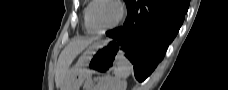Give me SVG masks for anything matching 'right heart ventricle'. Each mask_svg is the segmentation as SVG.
<instances>
[{
  "label": "right heart ventricle",
  "mask_w": 228,
  "mask_h": 90,
  "mask_svg": "<svg viewBox=\"0 0 228 90\" xmlns=\"http://www.w3.org/2000/svg\"><path fill=\"white\" fill-rule=\"evenodd\" d=\"M91 4V1L88 2L86 4V6L84 7V10H83V24H84V29L85 31L88 33V34H93V32L91 31V29L88 27L87 25V11H88V8Z\"/></svg>",
  "instance_id": "obj_1"
}]
</instances>
